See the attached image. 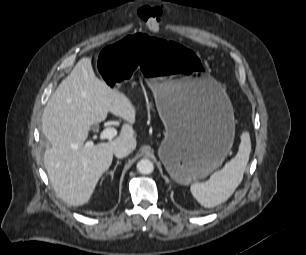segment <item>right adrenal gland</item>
<instances>
[{"label":"right adrenal gland","mask_w":306,"mask_h":255,"mask_svg":"<svg viewBox=\"0 0 306 255\" xmlns=\"http://www.w3.org/2000/svg\"><path fill=\"white\" fill-rule=\"evenodd\" d=\"M121 162L118 160L117 162H116V165L114 166V169H113V171H111L109 174L111 175V179H113V177H114V173H115V171H116V168H117V166L120 164Z\"/></svg>","instance_id":"1"}]
</instances>
